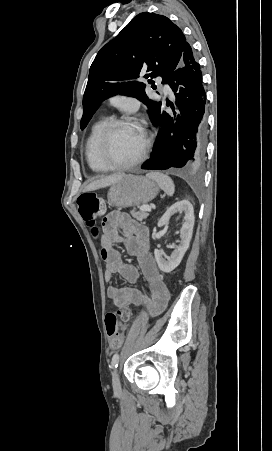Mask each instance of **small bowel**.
<instances>
[{"instance_id":"obj_1","label":"small bowel","mask_w":272,"mask_h":451,"mask_svg":"<svg viewBox=\"0 0 272 451\" xmlns=\"http://www.w3.org/2000/svg\"><path fill=\"white\" fill-rule=\"evenodd\" d=\"M117 243H122L126 251L136 258V266L122 260L114 247ZM100 246V255L106 266V282H110L115 274H119L132 284L137 283L142 276L148 285L147 292L127 286L109 287L107 294L113 305L121 309L131 305L146 306L153 314L167 307L169 294L150 251L149 231L145 225L123 212L112 211L103 219ZM120 336L123 342L124 337Z\"/></svg>"}]
</instances>
